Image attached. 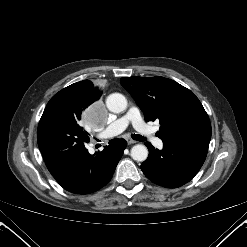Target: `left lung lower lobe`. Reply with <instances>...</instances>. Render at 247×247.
I'll return each instance as SVG.
<instances>
[{"label": "left lung lower lobe", "mask_w": 247, "mask_h": 247, "mask_svg": "<svg viewBox=\"0 0 247 247\" xmlns=\"http://www.w3.org/2000/svg\"><path fill=\"white\" fill-rule=\"evenodd\" d=\"M210 137L189 136L163 142V149L145 145L149 156L141 169L153 183L167 188L180 187L189 182L203 165Z\"/></svg>", "instance_id": "obj_1"}]
</instances>
